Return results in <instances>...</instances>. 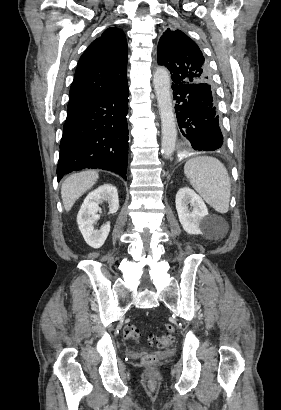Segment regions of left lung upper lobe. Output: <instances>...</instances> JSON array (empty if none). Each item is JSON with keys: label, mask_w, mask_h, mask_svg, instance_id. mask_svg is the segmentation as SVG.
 <instances>
[{"label": "left lung upper lobe", "mask_w": 281, "mask_h": 410, "mask_svg": "<svg viewBox=\"0 0 281 410\" xmlns=\"http://www.w3.org/2000/svg\"><path fill=\"white\" fill-rule=\"evenodd\" d=\"M158 63L169 69L172 84L212 83L199 47L180 30L168 28L163 33L158 43Z\"/></svg>", "instance_id": "obj_1"}]
</instances>
